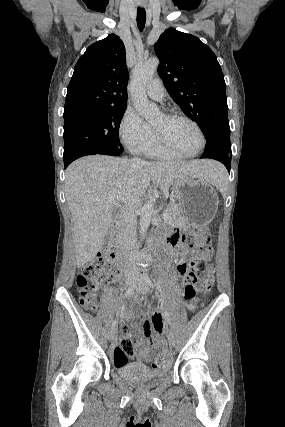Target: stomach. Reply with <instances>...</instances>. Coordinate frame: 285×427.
Listing matches in <instances>:
<instances>
[{
	"label": "stomach",
	"mask_w": 285,
	"mask_h": 427,
	"mask_svg": "<svg viewBox=\"0 0 285 427\" xmlns=\"http://www.w3.org/2000/svg\"><path fill=\"white\" fill-rule=\"evenodd\" d=\"M172 191L178 199L181 219L193 226L210 223L216 215L219 199L207 181L189 176L176 180Z\"/></svg>",
	"instance_id": "1"
}]
</instances>
